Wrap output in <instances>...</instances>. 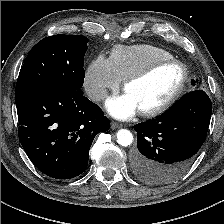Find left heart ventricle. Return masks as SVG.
Here are the masks:
<instances>
[{
	"label": "left heart ventricle",
	"mask_w": 224,
	"mask_h": 224,
	"mask_svg": "<svg viewBox=\"0 0 224 224\" xmlns=\"http://www.w3.org/2000/svg\"><path fill=\"white\" fill-rule=\"evenodd\" d=\"M181 77L182 70L178 65H166L149 77L129 85L126 93L136 102L138 110L150 109L173 93Z\"/></svg>",
	"instance_id": "obj_1"
}]
</instances>
